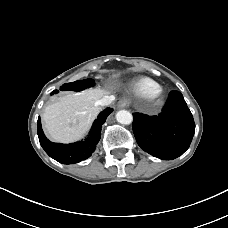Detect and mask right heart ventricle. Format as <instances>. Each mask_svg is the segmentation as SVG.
I'll return each mask as SVG.
<instances>
[{
  "label": "right heart ventricle",
  "instance_id": "1",
  "mask_svg": "<svg viewBox=\"0 0 228 228\" xmlns=\"http://www.w3.org/2000/svg\"><path fill=\"white\" fill-rule=\"evenodd\" d=\"M160 85L153 79L142 77L131 84V91L142 98H148Z\"/></svg>",
  "mask_w": 228,
  "mask_h": 228
}]
</instances>
